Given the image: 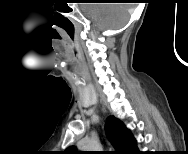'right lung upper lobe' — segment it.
<instances>
[{
  "label": "right lung upper lobe",
  "instance_id": "right-lung-upper-lobe-1",
  "mask_svg": "<svg viewBox=\"0 0 188 154\" xmlns=\"http://www.w3.org/2000/svg\"><path fill=\"white\" fill-rule=\"evenodd\" d=\"M106 131L113 147L120 154H134L137 151L136 141L125 125L116 117L109 116ZM68 153H75L74 146L67 148Z\"/></svg>",
  "mask_w": 188,
  "mask_h": 154
}]
</instances>
